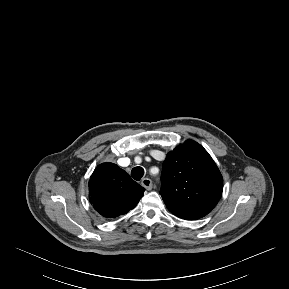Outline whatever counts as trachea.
Returning <instances> with one entry per match:
<instances>
[{
  "label": "trachea",
  "mask_w": 289,
  "mask_h": 289,
  "mask_svg": "<svg viewBox=\"0 0 289 289\" xmlns=\"http://www.w3.org/2000/svg\"><path fill=\"white\" fill-rule=\"evenodd\" d=\"M143 175H144V169L142 167H134L131 171V176L136 181H140Z\"/></svg>",
  "instance_id": "3493384b"
}]
</instances>
